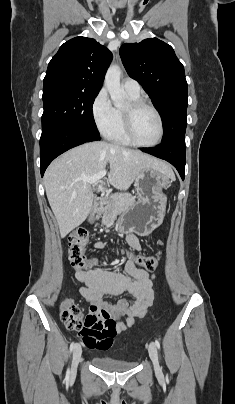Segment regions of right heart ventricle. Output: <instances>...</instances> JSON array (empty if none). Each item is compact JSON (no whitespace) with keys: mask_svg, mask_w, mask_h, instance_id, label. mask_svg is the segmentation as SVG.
I'll return each instance as SVG.
<instances>
[{"mask_svg":"<svg viewBox=\"0 0 235 404\" xmlns=\"http://www.w3.org/2000/svg\"><path fill=\"white\" fill-rule=\"evenodd\" d=\"M128 96L131 101L140 99V94L139 95L128 94ZM105 136L107 139L111 140L114 143L126 146L132 145V143L129 141L124 131L122 109L115 108L113 125L111 129L105 134Z\"/></svg>","mask_w":235,"mask_h":404,"instance_id":"obj_1","label":"right heart ventricle"}]
</instances>
